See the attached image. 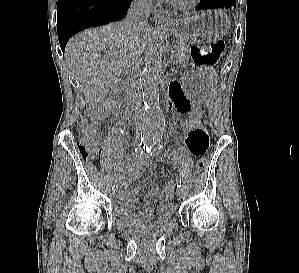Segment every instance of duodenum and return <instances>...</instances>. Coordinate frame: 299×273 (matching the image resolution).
<instances>
[{"label": "duodenum", "instance_id": "410a0bca", "mask_svg": "<svg viewBox=\"0 0 299 273\" xmlns=\"http://www.w3.org/2000/svg\"><path fill=\"white\" fill-rule=\"evenodd\" d=\"M117 104H118V110H119V112L122 115H126V116L130 117V113L128 112V109H127L126 98L123 97V96H121V95H119L118 98H117ZM166 107H167V109H171L172 108L170 97L166 101Z\"/></svg>", "mask_w": 299, "mask_h": 273}]
</instances>
